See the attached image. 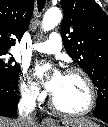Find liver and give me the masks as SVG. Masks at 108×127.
Returning a JSON list of instances; mask_svg holds the SVG:
<instances>
[{
	"label": "liver",
	"instance_id": "obj_1",
	"mask_svg": "<svg viewBox=\"0 0 108 127\" xmlns=\"http://www.w3.org/2000/svg\"><path fill=\"white\" fill-rule=\"evenodd\" d=\"M80 124L82 126L84 125H94L95 123L91 122L88 119L85 118H75V119H69L65 120L63 124ZM0 127H21L18 119H9V118H0ZM31 127H37V123H33Z\"/></svg>",
	"mask_w": 108,
	"mask_h": 127
}]
</instances>
